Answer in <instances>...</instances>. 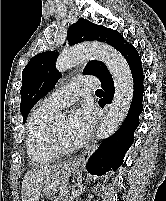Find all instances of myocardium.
I'll list each match as a JSON object with an SVG mask.
<instances>
[{"mask_svg":"<svg viewBox=\"0 0 166 201\" xmlns=\"http://www.w3.org/2000/svg\"><path fill=\"white\" fill-rule=\"evenodd\" d=\"M48 139L52 148L58 155H70L78 149L77 146H67L61 141L56 129L55 121H52L50 124Z\"/></svg>","mask_w":166,"mask_h":201,"instance_id":"myocardium-1","label":"myocardium"}]
</instances>
